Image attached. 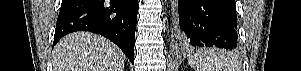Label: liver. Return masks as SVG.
I'll list each match as a JSON object with an SVG mask.
<instances>
[{
	"label": "liver",
	"instance_id": "obj_1",
	"mask_svg": "<svg viewBox=\"0 0 301 71\" xmlns=\"http://www.w3.org/2000/svg\"><path fill=\"white\" fill-rule=\"evenodd\" d=\"M125 54L106 38L90 32L64 36L54 47V71H123Z\"/></svg>",
	"mask_w": 301,
	"mask_h": 71
}]
</instances>
